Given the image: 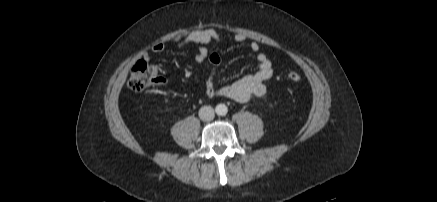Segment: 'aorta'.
I'll use <instances>...</instances> for the list:
<instances>
[{"label": "aorta", "instance_id": "762f6f07", "mask_svg": "<svg viewBox=\"0 0 437 202\" xmlns=\"http://www.w3.org/2000/svg\"><path fill=\"white\" fill-rule=\"evenodd\" d=\"M215 111L218 115L224 116L228 112V108L225 104H218L215 108Z\"/></svg>", "mask_w": 437, "mask_h": 202}]
</instances>
